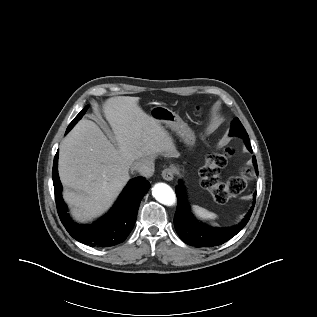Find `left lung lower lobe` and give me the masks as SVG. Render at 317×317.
I'll return each instance as SVG.
<instances>
[{
	"instance_id": "1",
	"label": "left lung lower lobe",
	"mask_w": 317,
	"mask_h": 317,
	"mask_svg": "<svg viewBox=\"0 0 317 317\" xmlns=\"http://www.w3.org/2000/svg\"><path fill=\"white\" fill-rule=\"evenodd\" d=\"M245 145L248 150L252 152L250 142H245ZM253 165L255 167V172L258 175V167L255 156H253ZM176 195L178 198V206L174 217L175 229L183 242L195 247H213L222 245L238 234L248 223L256 200L255 192L253 205L245 218L239 224L228 228H214L199 222L192 215L187 202L184 186L181 181H179V186L176 187Z\"/></svg>"
}]
</instances>
